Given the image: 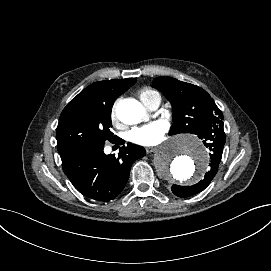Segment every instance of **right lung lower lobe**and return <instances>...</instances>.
Wrapping results in <instances>:
<instances>
[{"label":"right lung lower lobe","mask_w":271,"mask_h":271,"mask_svg":"<svg viewBox=\"0 0 271 271\" xmlns=\"http://www.w3.org/2000/svg\"><path fill=\"white\" fill-rule=\"evenodd\" d=\"M122 139L112 141L121 144ZM104 144L83 145L60 154L63 171L84 196L107 202L124 189L133 162L145 156L143 147L128 143L118 157L106 155Z\"/></svg>","instance_id":"1"}]
</instances>
